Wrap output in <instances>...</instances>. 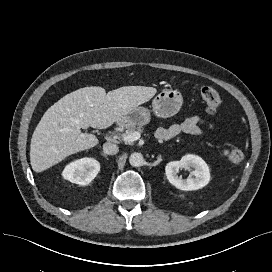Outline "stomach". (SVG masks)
Masks as SVG:
<instances>
[{"instance_id":"obj_1","label":"stomach","mask_w":272,"mask_h":272,"mask_svg":"<svg viewBox=\"0 0 272 272\" xmlns=\"http://www.w3.org/2000/svg\"><path fill=\"white\" fill-rule=\"evenodd\" d=\"M183 98L176 89H164L152 100V111L155 116L168 118L177 114ZM151 111L145 107H135L120 122L126 126H143L150 122Z\"/></svg>"}]
</instances>
